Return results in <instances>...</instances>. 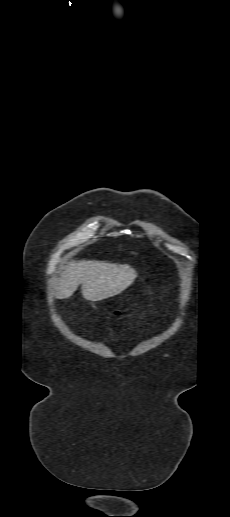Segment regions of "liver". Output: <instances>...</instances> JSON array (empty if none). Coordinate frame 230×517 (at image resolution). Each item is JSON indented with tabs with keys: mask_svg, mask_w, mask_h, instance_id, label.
<instances>
[{
	"mask_svg": "<svg viewBox=\"0 0 230 517\" xmlns=\"http://www.w3.org/2000/svg\"><path fill=\"white\" fill-rule=\"evenodd\" d=\"M137 272L128 264L107 261H71L60 275L57 298L65 299L73 295L81 284L84 299L92 302L114 297L128 288Z\"/></svg>",
	"mask_w": 230,
	"mask_h": 517,
	"instance_id": "liver-1",
	"label": "liver"
}]
</instances>
